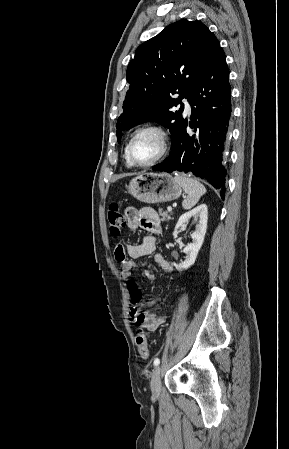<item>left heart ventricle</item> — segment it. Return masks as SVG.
I'll return each mask as SVG.
<instances>
[{"label":"left heart ventricle","instance_id":"left-heart-ventricle-1","mask_svg":"<svg viewBox=\"0 0 289 449\" xmlns=\"http://www.w3.org/2000/svg\"><path fill=\"white\" fill-rule=\"evenodd\" d=\"M160 149V143L152 133L141 134L133 143L132 155L139 163H146L156 157Z\"/></svg>","mask_w":289,"mask_h":449}]
</instances>
